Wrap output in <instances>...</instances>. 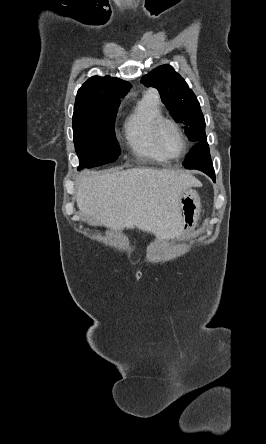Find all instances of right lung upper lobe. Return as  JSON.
Wrapping results in <instances>:
<instances>
[{
    "instance_id": "1",
    "label": "right lung upper lobe",
    "mask_w": 266,
    "mask_h": 444,
    "mask_svg": "<svg viewBox=\"0 0 266 444\" xmlns=\"http://www.w3.org/2000/svg\"><path fill=\"white\" fill-rule=\"evenodd\" d=\"M130 88L129 82L118 78L91 77L78 90L74 108L88 106L99 101L119 100L127 94Z\"/></svg>"
}]
</instances>
